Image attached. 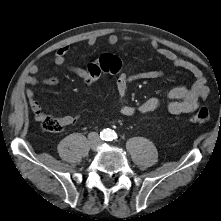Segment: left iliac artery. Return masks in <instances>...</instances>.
Here are the masks:
<instances>
[{"mask_svg": "<svg viewBox=\"0 0 221 221\" xmlns=\"http://www.w3.org/2000/svg\"><path fill=\"white\" fill-rule=\"evenodd\" d=\"M116 138H117V135L114 134V136L111 138V140L116 139Z\"/></svg>", "mask_w": 221, "mask_h": 221, "instance_id": "left-iliac-artery-1", "label": "left iliac artery"}]
</instances>
